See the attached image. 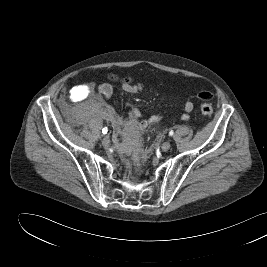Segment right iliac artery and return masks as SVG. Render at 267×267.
<instances>
[{"label":"right iliac artery","mask_w":267,"mask_h":267,"mask_svg":"<svg viewBox=\"0 0 267 267\" xmlns=\"http://www.w3.org/2000/svg\"><path fill=\"white\" fill-rule=\"evenodd\" d=\"M107 132H108L107 127H104V128L102 129V133H103V134H106Z\"/></svg>","instance_id":"right-iliac-artery-1"}]
</instances>
